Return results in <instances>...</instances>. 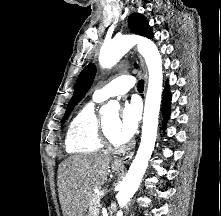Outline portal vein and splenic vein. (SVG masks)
I'll use <instances>...</instances> for the list:
<instances>
[{"instance_id": "1", "label": "portal vein and splenic vein", "mask_w": 221, "mask_h": 216, "mask_svg": "<svg viewBox=\"0 0 221 216\" xmlns=\"http://www.w3.org/2000/svg\"><path fill=\"white\" fill-rule=\"evenodd\" d=\"M105 193H106V190H103V191H102V196L105 195Z\"/></svg>"}]
</instances>
